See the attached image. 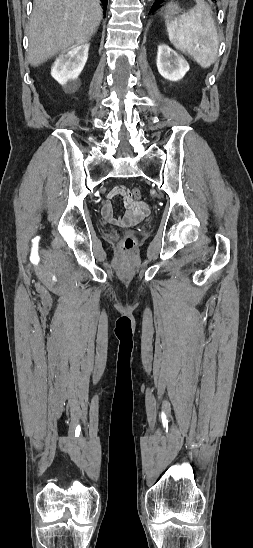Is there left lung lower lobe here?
Segmentation results:
<instances>
[{
	"label": "left lung lower lobe",
	"mask_w": 253,
	"mask_h": 548,
	"mask_svg": "<svg viewBox=\"0 0 253 548\" xmlns=\"http://www.w3.org/2000/svg\"><path fill=\"white\" fill-rule=\"evenodd\" d=\"M161 1H163V0H156L153 4L152 9L155 8ZM213 1H216V0H213Z\"/></svg>",
	"instance_id": "left-lung-lower-lobe-1"
}]
</instances>
